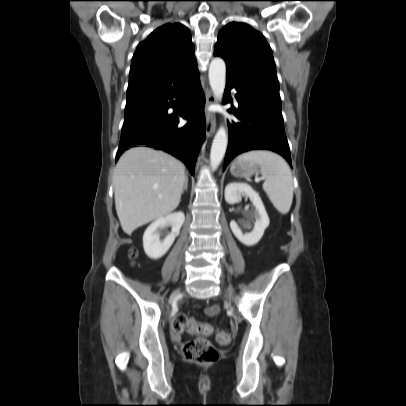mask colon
<instances>
[{
    "instance_id": "obj_1",
    "label": "colon",
    "mask_w": 406,
    "mask_h": 406,
    "mask_svg": "<svg viewBox=\"0 0 406 406\" xmlns=\"http://www.w3.org/2000/svg\"><path fill=\"white\" fill-rule=\"evenodd\" d=\"M130 256L135 257L136 252L130 251ZM172 329L175 333H192L206 334L212 332V327L205 323H200L193 317L184 313L177 314L172 322ZM216 340L221 345H226L231 342V336L227 332L219 331L216 334ZM183 354L185 358L196 364H211L218 358V353L215 347L205 339L189 340L183 345Z\"/></svg>"
}]
</instances>
